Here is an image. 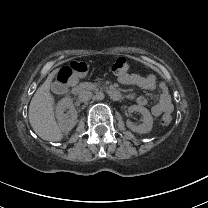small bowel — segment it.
<instances>
[{
	"instance_id": "1",
	"label": "small bowel",
	"mask_w": 208,
	"mask_h": 208,
	"mask_svg": "<svg viewBox=\"0 0 208 208\" xmlns=\"http://www.w3.org/2000/svg\"><path fill=\"white\" fill-rule=\"evenodd\" d=\"M118 81L123 85L136 86L144 90L154 91L157 88V81L154 75L142 76L136 73H126L120 75ZM160 97L159 101L152 106V113L155 116H159L162 113H169L173 109L171 96L164 83L159 84ZM137 102L140 105H146L147 99L143 96L137 98Z\"/></svg>"
}]
</instances>
